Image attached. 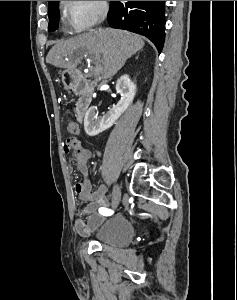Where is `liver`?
Returning <instances> with one entry per match:
<instances>
[{"label":"liver","mask_w":237,"mask_h":300,"mask_svg":"<svg viewBox=\"0 0 237 300\" xmlns=\"http://www.w3.org/2000/svg\"><path fill=\"white\" fill-rule=\"evenodd\" d=\"M144 45L142 37L134 33L117 29H99L82 33L68 41H60L50 49L46 63L73 71L81 63L82 55L86 53L93 55L96 63H102L103 79H110L122 69L127 59L140 51Z\"/></svg>","instance_id":"obj_1"}]
</instances>
